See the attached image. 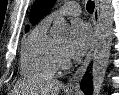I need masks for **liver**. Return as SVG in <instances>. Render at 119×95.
<instances>
[{
    "instance_id": "liver-1",
    "label": "liver",
    "mask_w": 119,
    "mask_h": 95,
    "mask_svg": "<svg viewBox=\"0 0 119 95\" xmlns=\"http://www.w3.org/2000/svg\"><path fill=\"white\" fill-rule=\"evenodd\" d=\"M62 83L56 79H43L32 83L21 82L17 85V89L25 90L31 95H59Z\"/></svg>"
}]
</instances>
